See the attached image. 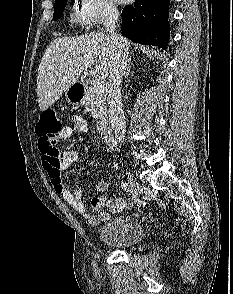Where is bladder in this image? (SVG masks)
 I'll list each match as a JSON object with an SVG mask.
<instances>
[{
  "label": "bladder",
  "instance_id": "1",
  "mask_svg": "<svg viewBox=\"0 0 233 294\" xmlns=\"http://www.w3.org/2000/svg\"><path fill=\"white\" fill-rule=\"evenodd\" d=\"M147 236L144 225L138 220L119 216L112 218L98 229L100 241L113 248L129 249L140 244Z\"/></svg>",
  "mask_w": 233,
  "mask_h": 294
}]
</instances>
